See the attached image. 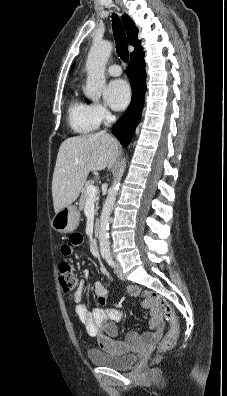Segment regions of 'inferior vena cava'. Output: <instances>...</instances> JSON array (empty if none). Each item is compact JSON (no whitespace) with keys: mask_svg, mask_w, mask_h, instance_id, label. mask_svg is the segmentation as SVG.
I'll use <instances>...</instances> for the list:
<instances>
[{"mask_svg":"<svg viewBox=\"0 0 227 396\" xmlns=\"http://www.w3.org/2000/svg\"><path fill=\"white\" fill-rule=\"evenodd\" d=\"M115 120V116H112V115H110V121H114ZM103 132H105V131H103ZM114 161H115V158L110 162V164H109V168H111L112 167V165H113V163H114Z\"/></svg>","mask_w":227,"mask_h":396,"instance_id":"602c4592","label":"inferior vena cava"}]
</instances>
